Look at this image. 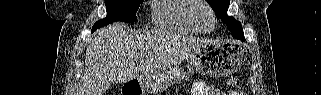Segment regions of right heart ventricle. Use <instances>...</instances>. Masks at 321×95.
<instances>
[{
    "label": "right heart ventricle",
    "mask_w": 321,
    "mask_h": 95,
    "mask_svg": "<svg viewBox=\"0 0 321 95\" xmlns=\"http://www.w3.org/2000/svg\"><path fill=\"white\" fill-rule=\"evenodd\" d=\"M194 0H154L151 20L155 27L181 33H199L190 18Z\"/></svg>",
    "instance_id": "1"
}]
</instances>
